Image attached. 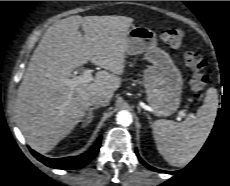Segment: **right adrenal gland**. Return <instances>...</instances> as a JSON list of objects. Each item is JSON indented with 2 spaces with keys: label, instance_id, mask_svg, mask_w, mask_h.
I'll use <instances>...</instances> for the list:
<instances>
[{
  "label": "right adrenal gland",
  "instance_id": "1",
  "mask_svg": "<svg viewBox=\"0 0 230 186\" xmlns=\"http://www.w3.org/2000/svg\"><path fill=\"white\" fill-rule=\"evenodd\" d=\"M98 109L97 106L95 107H92L89 109V112L86 114L85 118L83 121H85V124H83V126H87L89 125L92 121H93V118H94V115H93V111Z\"/></svg>",
  "mask_w": 230,
  "mask_h": 186
}]
</instances>
